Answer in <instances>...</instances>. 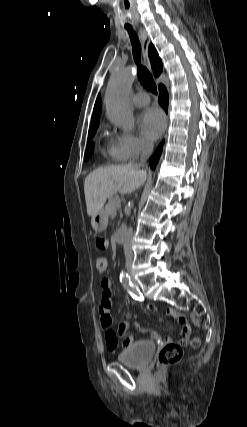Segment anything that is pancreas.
I'll use <instances>...</instances> for the list:
<instances>
[{
    "label": "pancreas",
    "instance_id": "1",
    "mask_svg": "<svg viewBox=\"0 0 247 427\" xmlns=\"http://www.w3.org/2000/svg\"><path fill=\"white\" fill-rule=\"evenodd\" d=\"M120 208V202H118V198H110L108 203L104 208V212L109 216H115L117 209Z\"/></svg>",
    "mask_w": 247,
    "mask_h": 427
}]
</instances>
